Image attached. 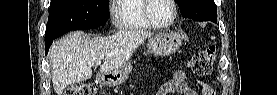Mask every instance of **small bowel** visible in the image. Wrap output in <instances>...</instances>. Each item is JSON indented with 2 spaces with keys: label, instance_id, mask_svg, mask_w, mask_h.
Returning <instances> with one entry per match:
<instances>
[{
  "label": "small bowel",
  "instance_id": "1",
  "mask_svg": "<svg viewBox=\"0 0 277 95\" xmlns=\"http://www.w3.org/2000/svg\"><path fill=\"white\" fill-rule=\"evenodd\" d=\"M187 73L178 70L174 73L173 78L163 84L157 95L183 94V95H214L215 90L204 84L200 79H194L195 88H192L186 82Z\"/></svg>",
  "mask_w": 277,
  "mask_h": 95
}]
</instances>
